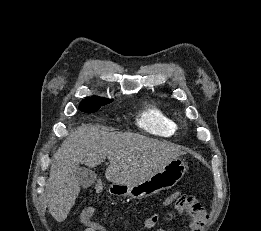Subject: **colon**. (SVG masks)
<instances>
[{"label": "colon", "instance_id": "obj_1", "mask_svg": "<svg viewBox=\"0 0 261 231\" xmlns=\"http://www.w3.org/2000/svg\"><path fill=\"white\" fill-rule=\"evenodd\" d=\"M170 200L180 215L200 225H205L208 222L209 214L207 210L194 196L178 191L173 193Z\"/></svg>", "mask_w": 261, "mask_h": 231}]
</instances>
